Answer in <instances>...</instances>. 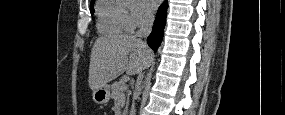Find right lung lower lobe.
<instances>
[{
    "label": "right lung lower lobe",
    "mask_w": 285,
    "mask_h": 115,
    "mask_svg": "<svg viewBox=\"0 0 285 115\" xmlns=\"http://www.w3.org/2000/svg\"><path fill=\"white\" fill-rule=\"evenodd\" d=\"M167 8H168V3H167V0H165V2L159 7L157 11L155 22L152 27V32L147 38L148 45L155 52L162 41L163 29L166 23Z\"/></svg>",
    "instance_id": "98d812e1"
}]
</instances>
